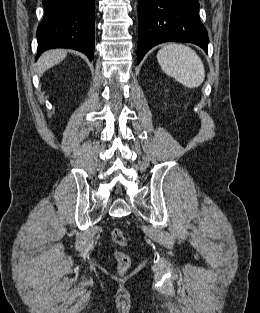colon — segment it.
I'll return each instance as SVG.
<instances>
[{
  "mask_svg": "<svg viewBox=\"0 0 260 313\" xmlns=\"http://www.w3.org/2000/svg\"><path fill=\"white\" fill-rule=\"evenodd\" d=\"M111 237L114 243L124 246L127 243L126 237L123 233V231L119 228H115L111 232ZM115 259L117 262V270L120 274H124L128 271L131 265V258L130 256L123 252V251H115L114 253Z\"/></svg>",
  "mask_w": 260,
  "mask_h": 313,
  "instance_id": "colon-1",
  "label": "colon"
}]
</instances>
